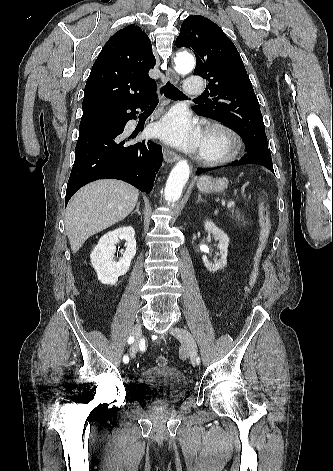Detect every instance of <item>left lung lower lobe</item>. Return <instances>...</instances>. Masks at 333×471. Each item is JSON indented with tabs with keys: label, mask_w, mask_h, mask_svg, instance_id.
Segmentation results:
<instances>
[{
	"label": "left lung lower lobe",
	"mask_w": 333,
	"mask_h": 471,
	"mask_svg": "<svg viewBox=\"0 0 333 471\" xmlns=\"http://www.w3.org/2000/svg\"><path fill=\"white\" fill-rule=\"evenodd\" d=\"M245 164H260L268 168L272 173H274L271 154H270V151L268 150H258L254 152H248L245 155V157H243L239 161L231 163L230 166H238V165H245ZM212 169H215V168L198 169L196 172V175H200Z\"/></svg>",
	"instance_id": "1"
}]
</instances>
